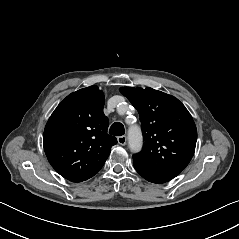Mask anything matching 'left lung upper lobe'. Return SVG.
<instances>
[{
    "instance_id": "1",
    "label": "left lung upper lobe",
    "mask_w": 239,
    "mask_h": 239,
    "mask_svg": "<svg viewBox=\"0 0 239 239\" xmlns=\"http://www.w3.org/2000/svg\"><path fill=\"white\" fill-rule=\"evenodd\" d=\"M140 115L144 145L133 163L155 169L184 170L192 159L197 129L192 116L174 96L152 88L122 87Z\"/></svg>"
}]
</instances>
